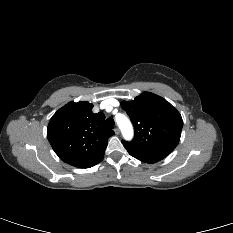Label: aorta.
Wrapping results in <instances>:
<instances>
[{
	"label": "aorta",
	"instance_id": "762f6f07",
	"mask_svg": "<svg viewBox=\"0 0 233 233\" xmlns=\"http://www.w3.org/2000/svg\"><path fill=\"white\" fill-rule=\"evenodd\" d=\"M116 122L122 132V135L125 140H131L133 138V126L130 120L123 114H120L116 117Z\"/></svg>",
	"mask_w": 233,
	"mask_h": 233
}]
</instances>
